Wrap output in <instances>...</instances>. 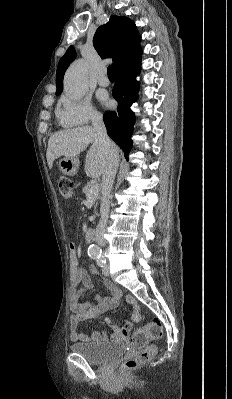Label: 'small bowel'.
Masks as SVG:
<instances>
[{
    "label": "small bowel",
    "instance_id": "small-bowel-1",
    "mask_svg": "<svg viewBox=\"0 0 232 399\" xmlns=\"http://www.w3.org/2000/svg\"><path fill=\"white\" fill-rule=\"evenodd\" d=\"M78 251L75 243L69 245V340L74 343H85L86 336L79 331V325L88 319L96 318L103 310L108 308H115L120 300V294L116 293L114 297H105L103 299L95 298V302L85 301L80 302L82 291L80 290L81 283H90L92 277L99 275V269L92 267L89 272L83 270L77 264ZM104 288L112 290V284L108 278L102 279ZM127 302L133 309V320L139 322L142 318L140 306L137 304L136 298L128 294L126 296ZM112 329L111 338H118L123 333H128L132 330V325L120 324L117 322H109ZM92 336L98 340L101 336L99 332H93Z\"/></svg>",
    "mask_w": 232,
    "mask_h": 399
}]
</instances>
